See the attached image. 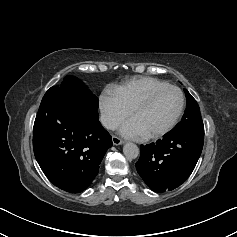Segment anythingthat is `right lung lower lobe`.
<instances>
[{
  "mask_svg": "<svg viewBox=\"0 0 237 237\" xmlns=\"http://www.w3.org/2000/svg\"><path fill=\"white\" fill-rule=\"evenodd\" d=\"M111 146L97 109L72 102L59 88L45 93L34 123L33 148L51 183L70 193L82 192Z\"/></svg>",
  "mask_w": 237,
  "mask_h": 237,
  "instance_id": "98d812e1",
  "label": "right lung lower lobe"
}]
</instances>
